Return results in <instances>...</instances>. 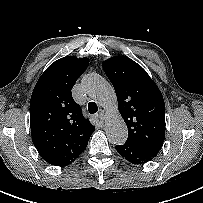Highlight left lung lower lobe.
Listing matches in <instances>:
<instances>
[{
    "instance_id": "0a47b994",
    "label": "left lung lower lobe",
    "mask_w": 203,
    "mask_h": 203,
    "mask_svg": "<svg viewBox=\"0 0 203 203\" xmlns=\"http://www.w3.org/2000/svg\"><path fill=\"white\" fill-rule=\"evenodd\" d=\"M115 148L121 156L133 164L146 163L157 155V153L143 149L130 142H125L123 145H117Z\"/></svg>"
}]
</instances>
